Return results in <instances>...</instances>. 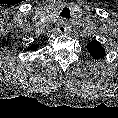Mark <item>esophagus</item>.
<instances>
[{"mask_svg":"<svg viewBox=\"0 0 118 118\" xmlns=\"http://www.w3.org/2000/svg\"><path fill=\"white\" fill-rule=\"evenodd\" d=\"M69 28L65 22V20H61L59 23H58V26H57V31L61 34H64L66 32H68Z\"/></svg>","mask_w":118,"mask_h":118,"instance_id":"34e87169","label":"esophagus"}]
</instances>
